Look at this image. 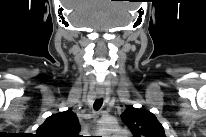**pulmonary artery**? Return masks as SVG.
I'll list each match as a JSON object with an SVG mask.
<instances>
[{
	"label": "pulmonary artery",
	"mask_w": 206,
	"mask_h": 137,
	"mask_svg": "<svg viewBox=\"0 0 206 137\" xmlns=\"http://www.w3.org/2000/svg\"><path fill=\"white\" fill-rule=\"evenodd\" d=\"M111 137H128L127 132L123 130L116 131Z\"/></svg>",
	"instance_id": "e3ab8cb5"
}]
</instances>
